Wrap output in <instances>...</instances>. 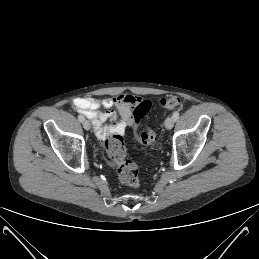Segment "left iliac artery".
Listing matches in <instances>:
<instances>
[{
    "mask_svg": "<svg viewBox=\"0 0 259 259\" xmlns=\"http://www.w3.org/2000/svg\"><path fill=\"white\" fill-rule=\"evenodd\" d=\"M174 121H176L178 118H179V112L178 111H175L172 115Z\"/></svg>",
    "mask_w": 259,
    "mask_h": 259,
    "instance_id": "1",
    "label": "left iliac artery"
}]
</instances>
